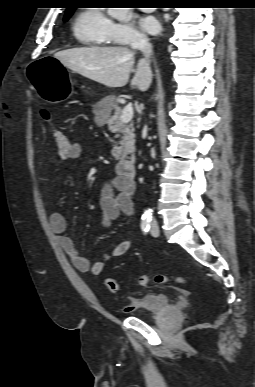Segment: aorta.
<instances>
[{
	"label": "aorta",
	"mask_w": 255,
	"mask_h": 387,
	"mask_svg": "<svg viewBox=\"0 0 255 387\" xmlns=\"http://www.w3.org/2000/svg\"><path fill=\"white\" fill-rule=\"evenodd\" d=\"M131 8H109L108 13L111 17L120 22H124L131 16ZM146 214H150V211H146Z\"/></svg>",
	"instance_id": "obj_1"
}]
</instances>
